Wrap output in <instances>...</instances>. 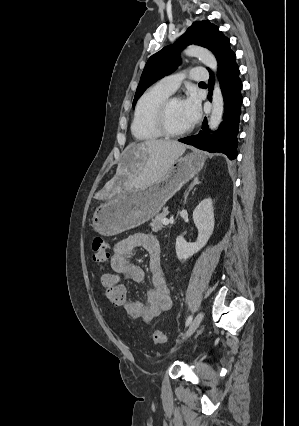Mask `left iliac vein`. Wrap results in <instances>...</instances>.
I'll return each mask as SVG.
<instances>
[{
    "mask_svg": "<svg viewBox=\"0 0 299 426\" xmlns=\"http://www.w3.org/2000/svg\"><path fill=\"white\" fill-rule=\"evenodd\" d=\"M203 319V312L197 313L193 321L190 323L189 328L187 329L186 333L182 336L180 340L177 341V344H181L184 342L187 338H189L199 327L201 321Z\"/></svg>",
    "mask_w": 299,
    "mask_h": 426,
    "instance_id": "4c4485c4",
    "label": "left iliac vein"
}]
</instances>
